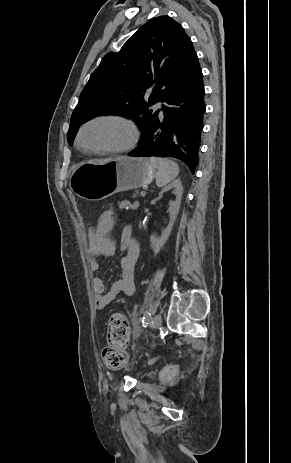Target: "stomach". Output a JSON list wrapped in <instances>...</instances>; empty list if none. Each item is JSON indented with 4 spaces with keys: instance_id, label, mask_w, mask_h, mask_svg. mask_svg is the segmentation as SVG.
Segmentation results:
<instances>
[{
    "instance_id": "obj_1",
    "label": "stomach",
    "mask_w": 291,
    "mask_h": 463,
    "mask_svg": "<svg viewBox=\"0 0 291 463\" xmlns=\"http://www.w3.org/2000/svg\"><path fill=\"white\" fill-rule=\"evenodd\" d=\"M154 177L155 168L148 159L124 156L77 164L71 171L69 186L79 197L98 201L148 185Z\"/></svg>"
}]
</instances>
